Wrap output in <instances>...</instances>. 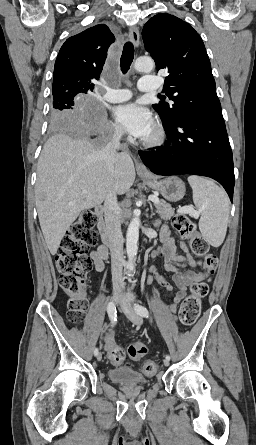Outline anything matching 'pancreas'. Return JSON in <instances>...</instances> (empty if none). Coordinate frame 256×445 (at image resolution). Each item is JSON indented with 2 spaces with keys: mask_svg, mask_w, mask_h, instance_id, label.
I'll return each instance as SVG.
<instances>
[{
  "mask_svg": "<svg viewBox=\"0 0 256 445\" xmlns=\"http://www.w3.org/2000/svg\"><path fill=\"white\" fill-rule=\"evenodd\" d=\"M155 207L161 218L164 220H169L174 216V209L171 207L170 204L166 203L163 200H160L159 203H155Z\"/></svg>",
  "mask_w": 256,
  "mask_h": 445,
  "instance_id": "cf45deb5",
  "label": "pancreas"
}]
</instances>
